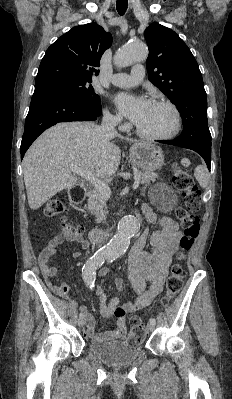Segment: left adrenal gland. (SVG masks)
<instances>
[{
  "instance_id": "obj_1",
  "label": "left adrenal gland",
  "mask_w": 232,
  "mask_h": 399,
  "mask_svg": "<svg viewBox=\"0 0 232 399\" xmlns=\"http://www.w3.org/2000/svg\"><path fill=\"white\" fill-rule=\"evenodd\" d=\"M142 194H144V190H142Z\"/></svg>"
}]
</instances>
